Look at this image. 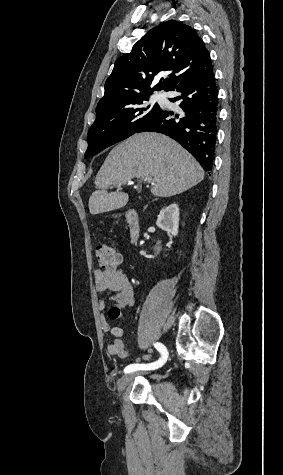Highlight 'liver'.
Returning <instances> with one entry per match:
<instances>
[{"mask_svg":"<svg viewBox=\"0 0 283 475\" xmlns=\"http://www.w3.org/2000/svg\"><path fill=\"white\" fill-rule=\"evenodd\" d=\"M133 178H152L153 196L170 198L204 180L197 160L175 140L156 132L134 134L111 150L96 178L89 198L90 214H103L126 206L124 192L108 194L109 186H124Z\"/></svg>","mask_w":283,"mask_h":475,"instance_id":"6515ba94","label":"liver"}]
</instances>
